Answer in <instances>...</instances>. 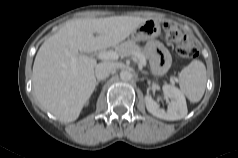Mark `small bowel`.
I'll use <instances>...</instances> for the list:
<instances>
[{
    "label": "small bowel",
    "mask_w": 238,
    "mask_h": 158,
    "mask_svg": "<svg viewBox=\"0 0 238 158\" xmlns=\"http://www.w3.org/2000/svg\"><path fill=\"white\" fill-rule=\"evenodd\" d=\"M145 49L150 58L153 71L158 74L164 73L170 65L168 51L157 41L148 42Z\"/></svg>",
    "instance_id": "c3829d8e"
}]
</instances>
